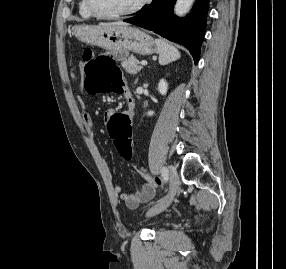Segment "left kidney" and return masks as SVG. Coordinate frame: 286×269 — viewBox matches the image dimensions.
I'll return each instance as SVG.
<instances>
[{"label": "left kidney", "mask_w": 286, "mask_h": 269, "mask_svg": "<svg viewBox=\"0 0 286 269\" xmlns=\"http://www.w3.org/2000/svg\"><path fill=\"white\" fill-rule=\"evenodd\" d=\"M158 90H159L161 95H166L167 90H168V83L166 82V80L161 79L159 81ZM153 114H154V111H148L147 112L148 116H152Z\"/></svg>", "instance_id": "5707ae66"}]
</instances>
